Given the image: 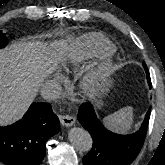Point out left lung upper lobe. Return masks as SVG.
<instances>
[{
    "mask_svg": "<svg viewBox=\"0 0 165 165\" xmlns=\"http://www.w3.org/2000/svg\"><path fill=\"white\" fill-rule=\"evenodd\" d=\"M143 67H144V69H145V71H146V75H147L148 84H151L150 74H149L148 68H147V66H146V64H145V63H143Z\"/></svg>",
    "mask_w": 165,
    "mask_h": 165,
    "instance_id": "left-lung-upper-lobe-1",
    "label": "left lung upper lobe"
}]
</instances>
